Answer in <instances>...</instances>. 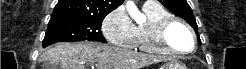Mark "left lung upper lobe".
<instances>
[{
	"mask_svg": "<svg viewBox=\"0 0 246 69\" xmlns=\"http://www.w3.org/2000/svg\"><path fill=\"white\" fill-rule=\"evenodd\" d=\"M166 8L170 11L174 12L176 15L183 18L186 22H188L194 29L197 34L198 43L201 45V40L198 35V26L196 24V20L192 13V10L188 3L185 0H159Z\"/></svg>",
	"mask_w": 246,
	"mask_h": 69,
	"instance_id": "5c2ea615",
	"label": "left lung upper lobe"
}]
</instances>
